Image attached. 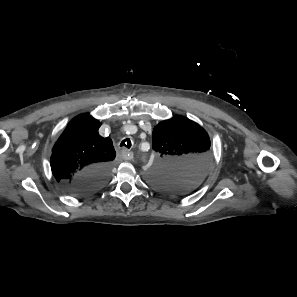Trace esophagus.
<instances>
[{
	"mask_svg": "<svg viewBox=\"0 0 297 297\" xmlns=\"http://www.w3.org/2000/svg\"><path fill=\"white\" fill-rule=\"evenodd\" d=\"M121 156L124 160H132L133 159V152L129 151L128 149H122Z\"/></svg>",
	"mask_w": 297,
	"mask_h": 297,
	"instance_id": "1",
	"label": "esophagus"
}]
</instances>
